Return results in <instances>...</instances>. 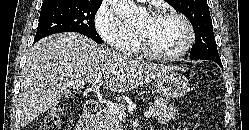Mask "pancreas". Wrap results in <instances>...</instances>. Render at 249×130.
<instances>
[{
  "label": "pancreas",
  "instance_id": "cf45deb5",
  "mask_svg": "<svg viewBox=\"0 0 249 130\" xmlns=\"http://www.w3.org/2000/svg\"><path fill=\"white\" fill-rule=\"evenodd\" d=\"M156 101V104L150 103L148 106V108L153 111L152 117L160 124L169 123L170 120L174 119L176 114H178L176 108L163 98L156 97ZM119 107L125 110L124 105H119ZM121 128V120L111 114L108 107H105L101 112L99 130H121Z\"/></svg>",
  "mask_w": 249,
  "mask_h": 130
}]
</instances>
